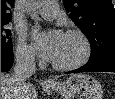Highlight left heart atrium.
<instances>
[{
    "instance_id": "left-heart-atrium-1",
    "label": "left heart atrium",
    "mask_w": 115,
    "mask_h": 99,
    "mask_svg": "<svg viewBox=\"0 0 115 99\" xmlns=\"http://www.w3.org/2000/svg\"><path fill=\"white\" fill-rule=\"evenodd\" d=\"M63 37L64 34L59 30L34 32L33 41L39 54L43 58L53 61L61 45Z\"/></svg>"
}]
</instances>
